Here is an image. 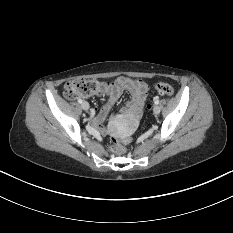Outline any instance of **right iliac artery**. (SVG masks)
<instances>
[{"instance_id": "1", "label": "right iliac artery", "mask_w": 233, "mask_h": 233, "mask_svg": "<svg viewBox=\"0 0 233 233\" xmlns=\"http://www.w3.org/2000/svg\"><path fill=\"white\" fill-rule=\"evenodd\" d=\"M78 102H79V103H82V100H81V99H78Z\"/></svg>"}]
</instances>
